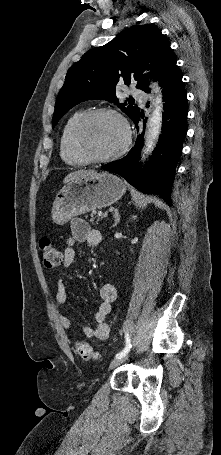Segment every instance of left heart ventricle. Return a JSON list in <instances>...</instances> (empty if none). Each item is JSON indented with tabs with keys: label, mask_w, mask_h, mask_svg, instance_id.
I'll return each mask as SVG.
<instances>
[{
	"label": "left heart ventricle",
	"mask_w": 221,
	"mask_h": 455,
	"mask_svg": "<svg viewBox=\"0 0 221 455\" xmlns=\"http://www.w3.org/2000/svg\"><path fill=\"white\" fill-rule=\"evenodd\" d=\"M125 133L121 122L112 115L92 119L83 129L82 144L96 157L109 155L123 144Z\"/></svg>",
	"instance_id": "1"
}]
</instances>
